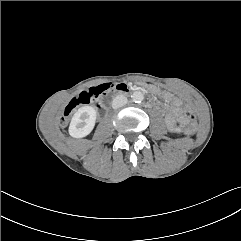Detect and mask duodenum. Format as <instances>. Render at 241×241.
Masks as SVG:
<instances>
[{"label": "duodenum", "instance_id": "duodenum-1", "mask_svg": "<svg viewBox=\"0 0 241 241\" xmlns=\"http://www.w3.org/2000/svg\"><path fill=\"white\" fill-rule=\"evenodd\" d=\"M110 90L116 92L117 94H124L129 91V87L126 84H118L111 87Z\"/></svg>", "mask_w": 241, "mask_h": 241}]
</instances>
